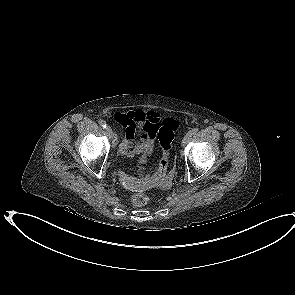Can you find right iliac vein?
<instances>
[{"label": "right iliac vein", "instance_id": "1", "mask_svg": "<svg viewBox=\"0 0 295 295\" xmlns=\"http://www.w3.org/2000/svg\"><path fill=\"white\" fill-rule=\"evenodd\" d=\"M106 131L109 135L114 136L113 131L109 126L106 127Z\"/></svg>", "mask_w": 295, "mask_h": 295}]
</instances>
